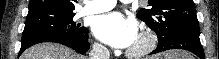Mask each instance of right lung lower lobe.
<instances>
[{
    "label": "right lung lower lobe",
    "instance_id": "right-lung-lower-lobe-1",
    "mask_svg": "<svg viewBox=\"0 0 219 59\" xmlns=\"http://www.w3.org/2000/svg\"><path fill=\"white\" fill-rule=\"evenodd\" d=\"M41 42H55V43H60L63 45H66L72 49H74L75 51L84 54L86 51H88L89 49V43H88V35L86 39H76V38H72V37H67V36H56V37H49V38H45L42 40H38V41H33L24 45H21V49L19 52V55L28 47L37 44V43H41Z\"/></svg>",
    "mask_w": 219,
    "mask_h": 59
}]
</instances>
